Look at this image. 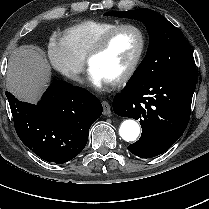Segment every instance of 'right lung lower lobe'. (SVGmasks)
Listing matches in <instances>:
<instances>
[{"label":"right lung lower lobe","instance_id":"98d812e1","mask_svg":"<svg viewBox=\"0 0 209 209\" xmlns=\"http://www.w3.org/2000/svg\"><path fill=\"white\" fill-rule=\"evenodd\" d=\"M6 95L21 141L41 159L56 164L84 149L89 129L103 111L96 96L61 80L48 87L37 105Z\"/></svg>","mask_w":209,"mask_h":209}]
</instances>
